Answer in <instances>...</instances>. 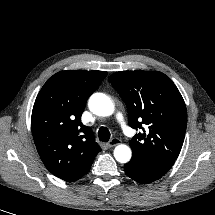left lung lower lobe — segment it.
I'll return each instance as SVG.
<instances>
[{
    "instance_id": "obj_1",
    "label": "left lung lower lobe",
    "mask_w": 215,
    "mask_h": 215,
    "mask_svg": "<svg viewBox=\"0 0 215 215\" xmlns=\"http://www.w3.org/2000/svg\"><path fill=\"white\" fill-rule=\"evenodd\" d=\"M124 170L131 179L142 184L154 182L162 177V175L147 172L131 163L125 164Z\"/></svg>"
}]
</instances>
